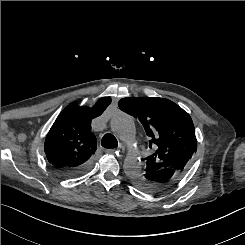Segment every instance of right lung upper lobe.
<instances>
[{
  "label": "right lung upper lobe",
  "mask_w": 245,
  "mask_h": 245,
  "mask_svg": "<svg viewBox=\"0 0 245 245\" xmlns=\"http://www.w3.org/2000/svg\"><path fill=\"white\" fill-rule=\"evenodd\" d=\"M111 103L99 99L93 107L68 105L57 117L45 140V154L54 169H70L91 160L97 140L91 132V120L100 116Z\"/></svg>",
  "instance_id": "right-lung-upper-lobe-1"
}]
</instances>
